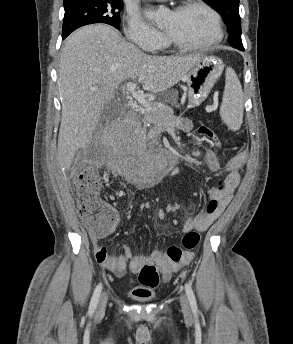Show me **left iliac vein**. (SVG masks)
Returning a JSON list of instances; mask_svg holds the SVG:
<instances>
[{"instance_id":"1","label":"left iliac vein","mask_w":293,"mask_h":344,"mask_svg":"<svg viewBox=\"0 0 293 344\" xmlns=\"http://www.w3.org/2000/svg\"><path fill=\"white\" fill-rule=\"evenodd\" d=\"M180 304H181L184 315L189 317L190 316L189 302L185 294H181Z\"/></svg>"}]
</instances>
